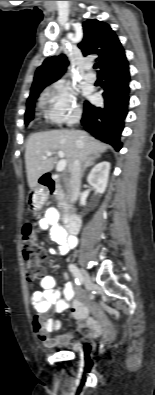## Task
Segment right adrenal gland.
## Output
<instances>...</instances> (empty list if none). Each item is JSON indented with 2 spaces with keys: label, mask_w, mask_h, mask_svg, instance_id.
Masks as SVG:
<instances>
[{
  "label": "right adrenal gland",
  "mask_w": 155,
  "mask_h": 395,
  "mask_svg": "<svg viewBox=\"0 0 155 395\" xmlns=\"http://www.w3.org/2000/svg\"><path fill=\"white\" fill-rule=\"evenodd\" d=\"M98 158H100V155H95V156H91L90 158H88V160L85 162V165H84V167H83V169H82L81 177H83L85 170H86L88 167L94 165V161H95L96 159H98Z\"/></svg>",
  "instance_id": "2a0ac1e0"
}]
</instances>
